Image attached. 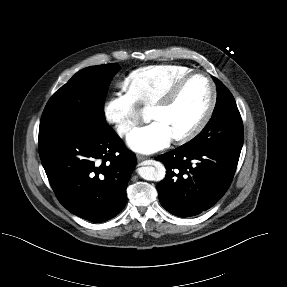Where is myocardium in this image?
Segmentation results:
<instances>
[{"label": "myocardium", "mask_w": 287, "mask_h": 287, "mask_svg": "<svg viewBox=\"0 0 287 287\" xmlns=\"http://www.w3.org/2000/svg\"><path fill=\"white\" fill-rule=\"evenodd\" d=\"M194 77H202L207 81L209 88H210V101L201 119L190 130H188L187 132L181 135H177L173 137V140L177 143H186L192 140L206 127V125L210 121L214 113V110L217 104V97H218L217 88H216L214 81L209 75L205 73L190 72L182 76L181 78H179L166 91V93L152 105V109H164V108L169 107L175 101V99L177 98L183 86Z\"/></svg>", "instance_id": "1"}]
</instances>
